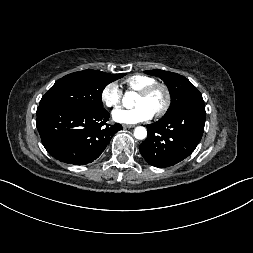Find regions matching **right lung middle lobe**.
Listing matches in <instances>:
<instances>
[{
	"label": "right lung middle lobe",
	"instance_id": "1",
	"mask_svg": "<svg viewBox=\"0 0 253 253\" xmlns=\"http://www.w3.org/2000/svg\"><path fill=\"white\" fill-rule=\"evenodd\" d=\"M97 70H83L57 80L42 97L40 105L65 106L100 112L104 110L101 95L107 84L123 77Z\"/></svg>",
	"mask_w": 253,
	"mask_h": 253
}]
</instances>
